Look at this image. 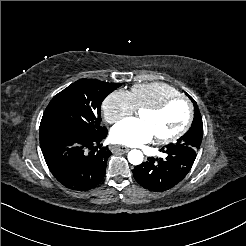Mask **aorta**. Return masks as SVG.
<instances>
[{
    "mask_svg": "<svg viewBox=\"0 0 246 246\" xmlns=\"http://www.w3.org/2000/svg\"><path fill=\"white\" fill-rule=\"evenodd\" d=\"M143 153L140 150H131L128 153V161L133 165H140L143 162Z\"/></svg>",
    "mask_w": 246,
    "mask_h": 246,
    "instance_id": "762f6f07",
    "label": "aorta"
}]
</instances>
